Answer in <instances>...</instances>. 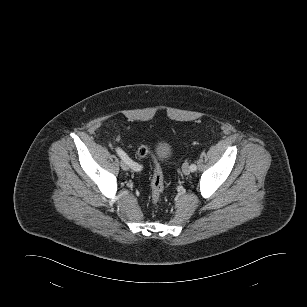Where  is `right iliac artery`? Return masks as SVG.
Segmentation results:
<instances>
[{
	"instance_id": "right-iliac-artery-1",
	"label": "right iliac artery",
	"mask_w": 307,
	"mask_h": 307,
	"mask_svg": "<svg viewBox=\"0 0 307 307\" xmlns=\"http://www.w3.org/2000/svg\"><path fill=\"white\" fill-rule=\"evenodd\" d=\"M116 152L119 155V157L126 162L132 170L134 171H140L141 170V165H139L138 163L134 162L132 159H130L128 157V155L119 147L116 148Z\"/></svg>"
}]
</instances>
